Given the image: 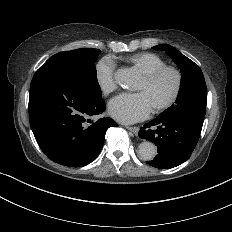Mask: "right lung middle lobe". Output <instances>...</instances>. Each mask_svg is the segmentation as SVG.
Returning a JSON list of instances; mask_svg holds the SVG:
<instances>
[{
    "instance_id": "1",
    "label": "right lung middle lobe",
    "mask_w": 232,
    "mask_h": 232,
    "mask_svg": "<svg viewBox=\"0 0 232 232\" xmlns=\"http://www.w3.org/2000/svg\"><path fill=\"white\" fill-rule=\"evenodd\" d=\"M100 50L92 48H80L72 51L60 52L49 60L60 61L76 66L90 83L92 91L96 95H101V89L97 81L96 67L94 62Z\"/></svg>"
}]
</instances>
